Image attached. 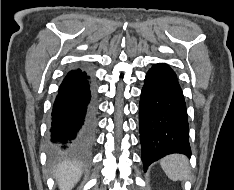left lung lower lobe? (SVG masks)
Wrapping results in <instances>:
<instances>
[{
	"mask_svg": "<svg viewBox=\"0 0 234 190\" xmlns=\"http://www.w3.org/2000/svg\"><path fill=\"white\" fill-rule=\"evenodd\" d=\"M139 130L145 170L168 154L191 156L186 103L175 72L165 63L153 65L146 74Z\"/></svg>",
	"mask_w": 234,
	"mask_h": 190,
	"instance_id": "1",
	"label": "left lung lower lobe"
}]
</instances>
